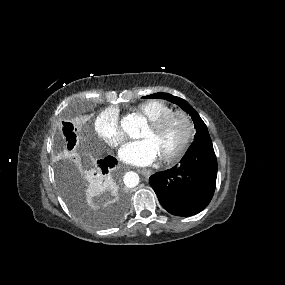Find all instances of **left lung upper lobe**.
I'll use <instances>...</instances> for the list:
<instances>
[{
	"instance_id": "1",
	"label": "left lung upper lobe",
	"mask_w": 285,
	"mask_h": 285,
	"mask_svg": "<svg viewBox=\"0 0 285 285\" xmlns=\"http://www.w3.org/2000/svg\"><path fill=\"white\" fill-rule=\"evenodd\" d=\"M143 98L166 99L174 104L179 105L186 113H188L192 117V120L194 121L195 129H196V134L194 138V143L191 145L190 148H192L193 146L197 144L211 141L207 126L205 125L203 120L200 118L199 114L184 99L173 96L168 93H155V94L143 97Z\"/></svg>"
}]
</instances>
